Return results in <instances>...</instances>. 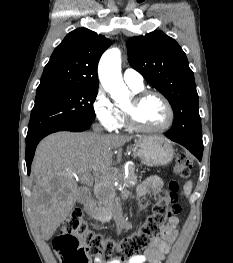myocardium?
<instances>
[{
    "label": "myocardium",
    "mask_w": 233,
    "mask_h": 263,
    "mask_svg": "<svg viewBox=\"0 0 233 263\" xmlns=\"http://www.w3.org/2000/svg\"><path fill=\"white\" fill-rule=\"evenodd\" d=\"M148 96L158 97L163 102L167 110V121L159 127L142 126L138 124L135 119V111L137 107ZM124 116L126 119L127 126L131 130L137 131V132H145V133L163 132L169 129L173 125L174 118H175L174 110H173V107L170 101L161 92H158L155 90H141V91L133 93L130 105L124 108Z\"/></svg>",
    "instance_id": "myocardium-1"
}]
</instances>
